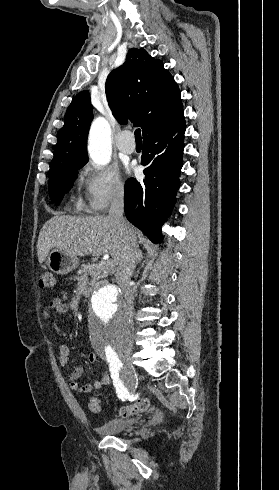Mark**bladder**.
Instances as JSON below:
<instances>
[{
  "label": "bladder",
  "mask_w": 279,
  "mask_h": 490,
  "mask_svg": "<svg viewBox=\"0 0 279 490\" xmlns=\"http://www.w3.org/2000/svg\"><path fill=\"white\" fill-rule=\"evenodd\" d=\"M137 424L136 417H119L102 422L96 430L104 437L123 435L124 432L133 430Z\"/></svg>",
  "instance_id": "1"
}]
</instances>
